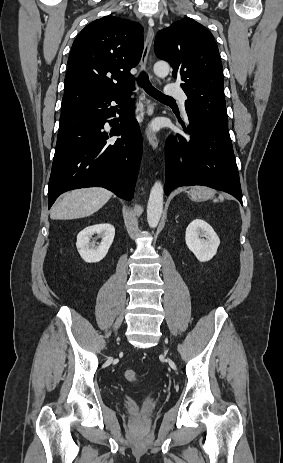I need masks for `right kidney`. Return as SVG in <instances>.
<instances>
[{"label": "right kidney", "mask_w": 283, "mask_h": 463, "mask_svg": "<svg viewBox=\"0 0 283 463\" xmlns=\"http://www.w3.org/2000/svg\"><path fill=\"white\" fill-rule=\"evenodd\" d=\"M102 238L99 246L90 243L92 235ZM115 235L114 226L108 223L96 224L86 227L77 235L76 246L82 259L88 263L101 261L107 254Z\"/></svg>", "instance_id": "obj_1"}]
</instances>
